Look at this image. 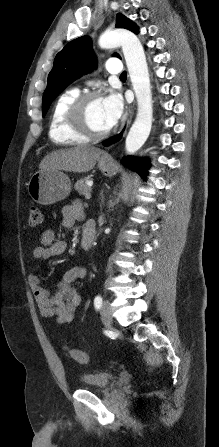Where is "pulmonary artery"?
I'll return each mask as SVG.
<instances>
[{"mask_svg":"<svg viewBox=\"0 0 219 447\" xmlns=\"http://www.w3.org/2000/svg\"><path fill=\"white\" fill-rule=\"evenodd\" d=\"M106 70L110 75H119L122 73L121 62L118 59L111 58L106 61Z\"/></svg>","mask_w":219,"mask_h":447,"instance_id":"e3ab8cb5","label":"pulmonary artery"}]
</instances>
